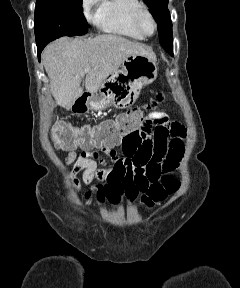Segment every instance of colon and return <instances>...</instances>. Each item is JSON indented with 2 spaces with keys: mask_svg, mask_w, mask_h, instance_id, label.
<instances>
[{
  "mask_svg": "<svg viewBox=\"0 0 240 288\" xmlns=\"http://www.w3.org/2000/svg\"><path fill=\"white\" fill-rule=\"evenodd\" d=\"M164 99L159 93L147 105L130 109L114 119L106 120L98 125L73 127L61 122L50 131L54 145L60 149L70 150L83 146H94L103 143L118 142L125 137L137 134L141 129L146 115L151 113ZM180 187L177 178L171 175L162 177L161 182L152 185L142 201L148 206L164 201Z\"/></svg>",
  "mask_w": 240,
  "mask_h": 288,
  "instance_id": "5ec220e1",
  "label": "colon"
}]
</instances>
